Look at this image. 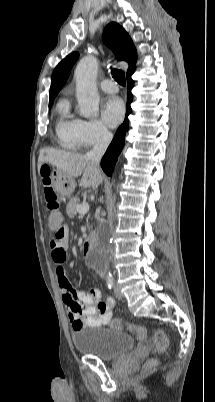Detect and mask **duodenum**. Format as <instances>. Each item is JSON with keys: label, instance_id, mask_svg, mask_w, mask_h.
Wrapping results in <instances>:
<instances>
[{"label": "duodenum", "instance_id": "obj_1", "mask_svg": "<svg viewBox=\"0 0 215 402\" xmlns=\"http://www.w3.org/2000/svg\"><path fill=\"white\" fill-rule=\"evenodd\" d=\"M95 242L93 237H88L82 244V253L85 256H89L94 250ZM98 270L101 271L102 268L98 267Z\"/></svg>", "mask_w": 215, "mask_h": 402}]
</instances>
